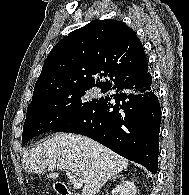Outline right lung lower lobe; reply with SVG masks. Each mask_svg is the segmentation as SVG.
Returning <instances> with one entry per match:
<instances>
[{"instance_id":"right-lung-lower-lobe-1","label":"right lung lower lobe","mask_w":189,"mask_h":195,"mask_svg":"<svg viewBox=\"0 0 189 195\" xmlns=\"http://www.w3.org/2000/svg\"><path fill=\"white\" fill-rule=\"evenodd\" d=\"M86 110L53 129L88 136L155 174L161 108L148 66L140 75L115 82Z\"/></svg>"}]
</instances>
